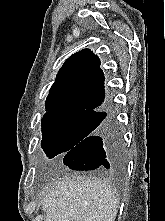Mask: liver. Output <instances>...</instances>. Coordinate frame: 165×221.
I'll list each match as a JSON object with an SVG mask.
<instances>
[{
  "instance_id": "obj_1",
  "label": "liver",
  "mask_w": 165,
  "mask_h": 221,
  "mask_svg": "<svg viewBox=\"0 0 165 221\" xmlns=\"http://www.w3.org/2000/svg\"><path fill=\"white\" fill-rule=\"evenodd\" d=\"M46 221H114L116 192L103 181L65 176L41 200Z\"/></svg>"
}]
</instances>
